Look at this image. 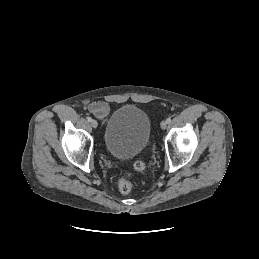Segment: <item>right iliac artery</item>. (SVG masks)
I'll return each instance as SVG.
<instances>
[{
  "mask_svg": "<svg viewBox=\"0 0 259 259\" xmlns=\"http://www.w3.org/2000/svg\"><path fill=\"white\" fill-rule=\"evenodd\" d=\"M87 120H88L89 122H91V121H92V118H91V117H87Z\"/></svg>",
  "mask_w": 259,
  "mask_h": 259,
  "instance_id": "right-iliac-artery-1",
  "label": "right iliac artery"
}]
</instances>
